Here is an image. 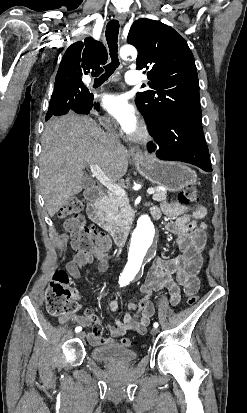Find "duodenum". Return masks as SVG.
I'll use <instances>...</instances> for the list:
<instances>
[{
  "mask_svg": "<svg viewBox=\"0 0 247 413\" xmlns=\"http://www.w3.org/2000/svg\"><path fill=\"white\" fill-rule=\"evenodd\" d=\"M86 198L89 202L87 214L89 219L96 225L107 230L109 235L113 238L116 245H122L125 241L126 230H119L110 227L104 222L103 210H104V198L105 191L100 186H94L86 191Z\"/></svg>",
  "mask_w": 247,
  "mask_h": 413,
  "instance_id": "1",
  "label": "duodenum"
}]
</instances>
